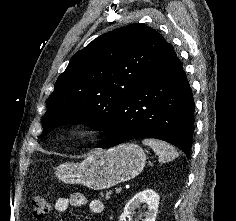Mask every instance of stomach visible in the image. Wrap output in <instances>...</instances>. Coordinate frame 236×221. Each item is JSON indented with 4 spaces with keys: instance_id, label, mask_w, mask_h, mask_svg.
Here are the masks:
<instances>
[{
    "instance_id": "1",
    "label": "stomach",
    "mask_w": 236,
    "mask_h": 221,
    "mask_svg": "<svg viewBox=\"0 0 236 221\" xmlns=\"http://www.w3.org/2000/svg\"><path fill=\"white\" fill-rule=\"evenodd\" d=\"M145 163L144 150L137 144L127 143L91 154L80 163L60 164L55 174L64 183L103 190L135 178Z\"/></svg>"
}]
</instances>
